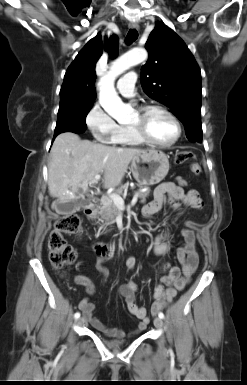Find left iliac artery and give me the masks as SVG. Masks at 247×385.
<instances>
[{
    "instance_id": "obj_1",
    "label": "left iliac artery",
    "mask_w": 247,
    "mask_h": 385,
    "mask_svg": "<svg viewBox=\"0 0 247 385\" xmlns=\"http://www.w3.org/2000/svg\"><path fill=\"white\" fill-rule=\"evenodd\" d=\"M158 316H159L161 319H164V314H163L162 312H160V313L158 314Z\"/></svg>"
}]
</instances>
